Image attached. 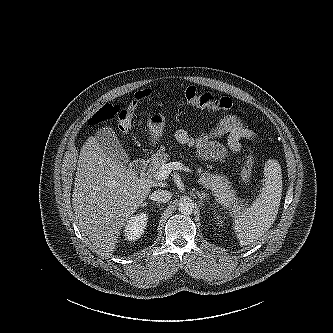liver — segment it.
<instances>
[{
  "mask_svg": "<svg viewBox=\"0 0 333 333\" xmlns=\"http://www.w3.org/2000/svg\"><path fill=\"white\" fill-rule=\"evenodd\" d=\"M151 184L107 155L96 137L84 143L72 194L81 231L106 257L112 256L120 230L148 197Z\"/></svg>",
  "mask_w": 333,
  "mask_h": 333,
  "instance_id": "liver-1",
  "label": "liver"
}]
</instances>
